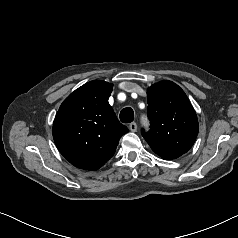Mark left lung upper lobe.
<instances>
[{
    "mask_svg": "<svg viewBox=\"0 0 238 238\" xmlns=\"http://www.w3.org/2000/svg\"><path fill=\"white\" fill-rule=\"evenodd\" d=\"M150 130L142 135L151 149L165 160L180 157L194 144L199 125L184 91L171 81L148 88Z\"/></svg>",
    "mask_w": 238,
    "mask_h": 238,
    "instance_id": "left-lung-upper-lobe-1",
    "label": "left lung upper lobe"
}]
</instances>
